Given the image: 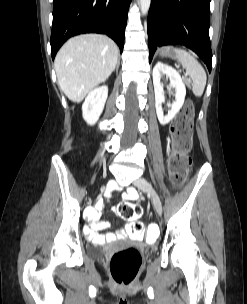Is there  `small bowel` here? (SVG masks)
I'll return each instance as SVG.
<instances>
[{"instance_id": "small-bowel-1", "label": "small bowel", "mask_w": 247, "mask_h": 304, "mask_svg": "<svg viewBox=\"0 0 247 304\" xmlns=\"http://www.w3.org/2000/svg\"><path fill=\"white\" fill-rule=\"evenodd\" d=\"M137 197L138 194L134 189L131 188L128 189L126 194L127 199L133 200L136 199ZM99 215H100V209L90 212V224L85 230L86 236L90 241L94 243L102 244V243L115 241L117 238L122 239L126 237V235L128 234L129 225H127L124 230L118 233L100 234L99 231L107 228L109 224L105 221H100Z\"/></svg>"}]
</instances>
